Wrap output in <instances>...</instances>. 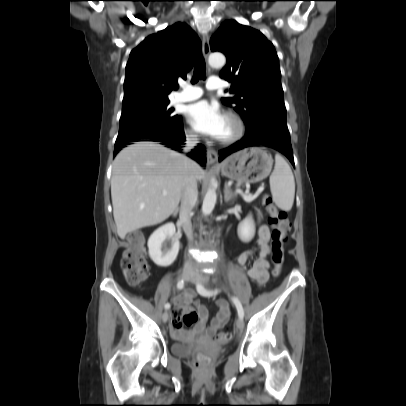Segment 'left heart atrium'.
<instances>
[{
  "instance_id": "1",
  "label": "left heart atrium",
  "mask_w": 406,
  "mask_h": 406,
  "mask_svg": "<svg viewBox=\"0 0 406 406\" xmlns=\"http://www.w3.org/2000/svg\"><path fill=\"white\" fill-rule=\"evenodd\" d=\"M186 115L190 125L198 132L219 138L225 116L215 104L198 101L187 107Z\"/></svg>"
}]
</instances>
